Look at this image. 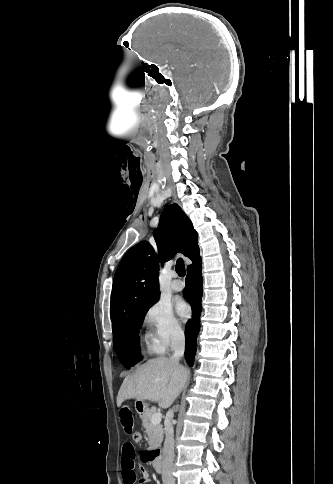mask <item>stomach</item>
<instances>
[{"label": "stomach", "instance_id": "stomach-1", "mask_svg": "<svg viewBox=\"0 0 333 484\" xmlns=\"http://www.w3.org/2000/svg\"><path fill=\"white\" fill-rule=\"evenodd\" d=\"M135 408L137 413L141 416L148 410V405L145 401H136Z\"/></svg>", "mask_w": 333, "mask_h": 484}]
</instances>
